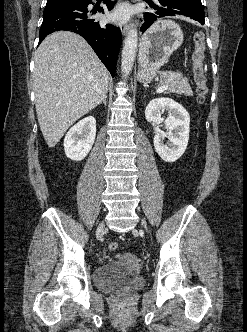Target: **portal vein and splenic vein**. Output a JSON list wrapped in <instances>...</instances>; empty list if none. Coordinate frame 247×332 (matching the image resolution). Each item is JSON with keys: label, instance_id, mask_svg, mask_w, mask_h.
Here are the masks:
<instances>
[{"label": "portal vein and splenic vein", "instance_id": "obj_1", "mask_svg": "<svg viewBox=\"0 0 247 332\" xmlns=\"http://www.w3.org/2000/svg\"><path fill=\"white\" fill-rule=\"evenodd\" d=\"M168 87H169V85H162L157 89V92L158 93L163 92V91L167 90Z\"/></svg>", "mask_w": 247, "mask_h": 332}]
</instances>
